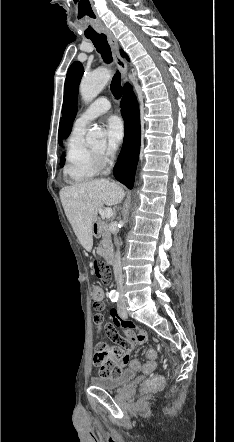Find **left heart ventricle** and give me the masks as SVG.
<instances>
[{
  "label": "left heart ventricle",
  "mask_w": 234,
  "mask_h": 442,
  "mask_svg": "<svg viewBox=\"0 0 234 442\" xmlns=\"http://www.w3.org/2000/svg\"><path fill=\"white\" fill-rule=\"evenodd\" d=\"M94 150L99 151V152H103L104 150V144H99L93 147Z\"/></svg>",
  "instance_id": "obj_1"
}]
</instances>
